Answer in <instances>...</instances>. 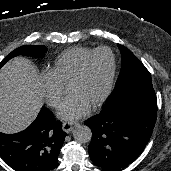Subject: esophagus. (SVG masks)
<instances>
[{
  "label": "esophagus",
  "mask_w": 171,
  "mask_h": 171,
  "mask_svg": "<svg viewBox=\"0 0 171 171\" xmlns=\"http://www.w3.org/2000/svg\"><path fill=\"white\" fill-rule=\"evenodd\" d=\"M77 124V122H64L62 124V130L66 133H70Z\"/></svg>",
  "instance_id": "34e87169"
}]
</instances>
